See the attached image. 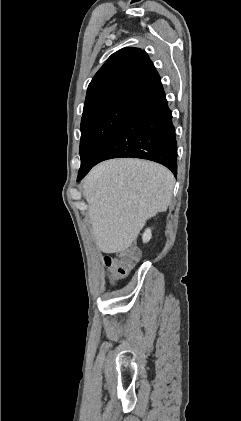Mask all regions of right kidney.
I'll return each mask as SVG.
<instances>
[{
  "label": "right kidney",
  "mask_w": 241,
  "mask_h": 421,
  "mask_svg": "<svg viewBox=\"0 0 241 421\" xmlns=\"http://www.w3.org/2000/svg\"><path fill=\"white\" fill-rule=\"evenodd\" d=\"M152 237V233H151V229H146L145 232L143 233V242L146 243L148 242Z\"/></svg>",
  "instance_id": "ca27d5eb"
}]
</instances>
